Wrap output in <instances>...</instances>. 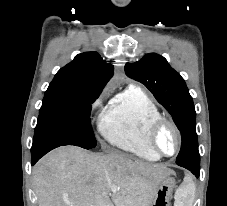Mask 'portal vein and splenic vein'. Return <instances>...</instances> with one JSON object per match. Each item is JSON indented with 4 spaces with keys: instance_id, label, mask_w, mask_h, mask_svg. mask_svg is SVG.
I'll return each instance as SVG.
<instances>
[{
    "instance_id": "portal-vein-and-splenic-vein-1",
    "label": "portal vein and splenic vein",
    "mask_w": 227,
    "mask_h": 206,
    "mask_svg": "<svg viewBox=\"0 0 227 206\" xmlns=\"http://www.w3.org/2000/svg\"><path fill=\"white\" fill-rule=\"evenodd\" d=\"M111 189H112V190H114V189H115V187H111Z\"/></svg>"
}]
</instances>
